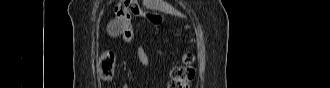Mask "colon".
I'll return each instance as SVG.
<instances>
[{
  "label": "colon",
  "mask_w": 330,
  "mask_h": 88,
  "mask_svg": "<svg viewBox=\"0 0 330 88\" xmlns=\"http://www.w3.org/2000/svg\"><path fill=\"white\" fill-rule=\"evenodd\" d=\"M141 13L138 1L123 0L116 8V16L122 24V39L130 43L133 39V30L131 19ZM151 21L158 22L157 16L149 17ZM193 57L189 52H185L172 69L171 82L169 88H188L195 76V70L192 67ZM98 71L103 81H109L115 74V58L111 51L104 50L98 58Z\"/></svg>",
  "instance_id": "5ec220e1"
}]
</instances>
